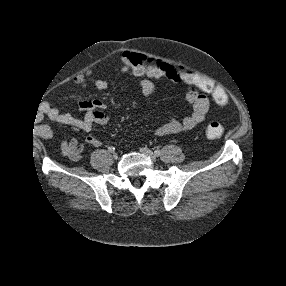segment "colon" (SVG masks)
<instances>
[{"mask_svg": "<svg viewBox=\"0 0 286 286\" xmlns=\"http://www.w3.org/2000/svg\"><path fill=\"white\" fill-rule=\"evenodd\" d=\"M123 72H131L137 75H148L155 78L170 76L169 67L160 61L148 58L138 53L127 52L122 56V67ZM184 75L182 78L191 81L204 92L210 93L215 102L224 106L227 103V96L225 92L216 86L211 80L194 74L190 71L183 70ZM87 80V75H79L75 79L76 85H83ZM224 133V126L219 122H211L205 128V136L208 139H218Z\"/></svg>", "mask_w": 286, "mask_h": 286, "instance_id": "5ec220e1", "label": "colon"}]
</instances>
